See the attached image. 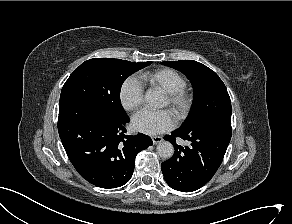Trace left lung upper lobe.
Masks as SVG:
<instances>
[{"label":"left lung upper lobe","mask_w":292,"mask_h":224,"mask_svg":"<svg viewBox=\"0 0 292 224\" xmlns=\"http://www.w3.org/2000/svg\"><path fill=\"white\" fill-rule=\"evenodd\" d=\"M184 73L194 89V106L189 119L180 128L185 132L231 129V101L219 76L193 60L161 62Z\"/></svg>","instance_id":"obj_1"}]
</instances>
